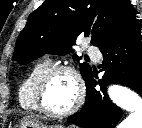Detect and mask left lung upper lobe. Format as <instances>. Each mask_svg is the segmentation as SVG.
<instances>
[{
	"mask_svg": "<svg viewBox=\"0 0 142 128\" xmlns=\"http://www.w3.org/2000/svg\"><path fill=\"white\" fill-rule=\"evenodd\" d=\"M96 15L98 21L93 24L91 17ZM135 16L129 0H45L29 15L12 61L27 64L46 53L66 55L79 35L91 37L100 49L131 30L138 23ZM80 73L86 82L91 67L80 64Z\"/></svg>",
	"mask_w": 142,
	"mask_h": 128,
	"instance_id": "5c2ea615",
	"label": "left lung upper lobe"
}]
</instances>
